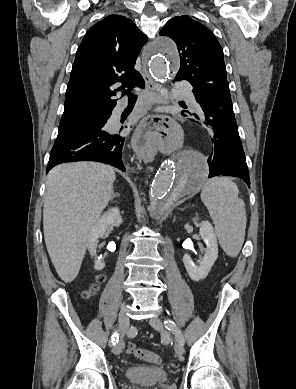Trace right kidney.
Here are the masks:
<instances>
[{
	"mask_svg": "<svg viewBox=\"0 0 296 389\" xmlns=\"http://www.w3.org/2000/svg\"><path fill=\"white\" fill-rule=\"evenodd\" d=\"M122 217L120 215L119 208L113 207L105 212L100 219L94 224L90 232L87 248L90 254L93 256L96 253L98 239L102 238L106 232L108 226H120L122 224ZM105 267V262L102 258L95 260L94 269L102 270Z\"/></svg>",
	"mask_w": 296,
	"mask_h": 389,
	"instance_id": "1",
	"label": "right kidney"
}]
</instances>
